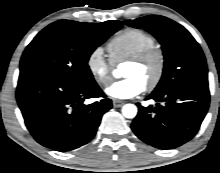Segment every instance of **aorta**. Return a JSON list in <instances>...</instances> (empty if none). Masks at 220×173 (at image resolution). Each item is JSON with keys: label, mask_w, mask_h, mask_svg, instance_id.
Returning a JSON list of instances; mask_svg holds the SVG:
<instances>
[{"label": "aorta", "mask_w": 220, "mask_h": 173, "mask_svg": "<svg viewBox=\"0 0 220 173\" xmlns=\"http://www.w3.org/2000/svg\"><path fill=\"white\" fill-rule=\"evenodd\" d=\"M113 74L114 76L119 77L120 71L115 70ZM122 114L124 115V117L132 119L137 115V107L133 104H126L122 107Z\"/></svg>", "instance_id": "obj_1"}]
</instances>
